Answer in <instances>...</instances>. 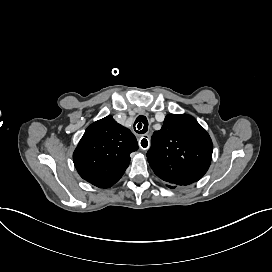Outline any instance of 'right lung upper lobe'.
<instances>
[{
	"mask_svg": "<svg viewBox=\"0 0 272 272\" xmlns=\"http://www.w3.org/2000/svg\"><path fill=\"white\" fill-rule=\"evenodd\" d=\"M138 149L134 134L112 116L92 123L73 154L79 175L99 188H109L124 174L130 153Z\"/></svg>",
	"mask_w": 272,
	"mask_h": 272,
	"instance_id": "1",
	"label": "right lung upper lobe"
}]
</instances>
